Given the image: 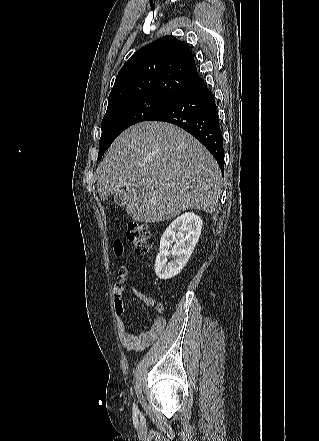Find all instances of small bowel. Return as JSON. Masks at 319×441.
I'll return each mask as SVG.
<instances>
[{"mask_svg": "<svg viewBox=\"0 0 319 441\" xmlns=\"http://www.w3.org/2000/svg\"><path fill=\"white\" fill-rule=\"evenodd\" d=\"M114 252L117 257L122 255L123 246L121 243L114 245ZM127 276V269L125 267H120L117 271V281L113 286V302L117 335L121 344L125 348L140 351L151 346L162 335L166 327V320L163 317L155 318L151 327L139 335H134L128 331L124 321L125 307L123 302L124 283L127 280ZM132 293L139 301L147 306H154L156 304L153 297L146 295L135 287H132Z\"/></svg>", "mask_w": 319, "mask_h": 441, "instance_id": "small-bowel-1", "label": "small bowel"}]
</instances>
